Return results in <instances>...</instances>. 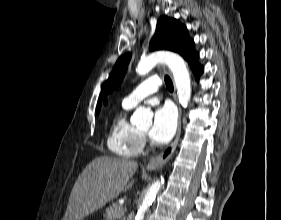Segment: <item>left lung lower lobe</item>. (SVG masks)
Here are the masks:
<instances>
[{"label":"left lung lower lobe","instance_id":"obj_1","mask_svg":"<svg viewBox=\"0 0 281 220\" xmlns=\"http://www.w3.org/2000/svg\"><path fill=\"white\" fill-rule=\"evenodd\" d=\"M197 60H198V55H196L191 61H189V64L192 68L193 73L195 74L196 78L198 79V77L203 72V67L198 64Z\"/></svg>","mask_w":281,"mask_h":220}]
</instances>
